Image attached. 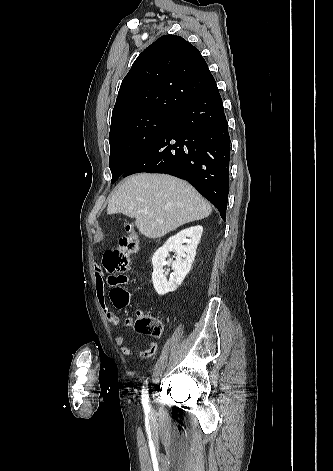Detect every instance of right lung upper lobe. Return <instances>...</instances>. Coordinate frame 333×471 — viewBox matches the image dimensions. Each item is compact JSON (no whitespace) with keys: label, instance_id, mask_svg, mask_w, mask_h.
Segmentation results:
<instances>
[{"label":"right lung upper lobe","instance_id":"right-lung-upper-lobe-1","mask_svg":"<svg viewBox=\"0 0 333 471\" xmlns=\"http://www.w3.org/2000/svg\"><path fill=\"white\" fill-rule=\"evenodd\" d=\"M214 84L196 47L180 36H161L137 57L123 79L111 123L145 111L176 114Z\"/></svg>","mask_w":333,"mask_h":471}]
</instances>
